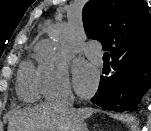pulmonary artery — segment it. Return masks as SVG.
Here are the masks:
<instances>
[{
	"instance_id": "1",
	"label": "pulmonary artery",
	"mask_w": 151,
	"mask_h": 131,
	"mask_svg": "<svg viewBox=\"0 0 151 131\" xmlns=\"http://www.w3.org/2000/svg\"><path fill=\"white\" fill-rule=\"evenodd\" d=\"M85 51L89 56H91L95 61H97L99 65H102V52L99 49L89 44L85 47Z\"/></svg>"
}]
</instances>
